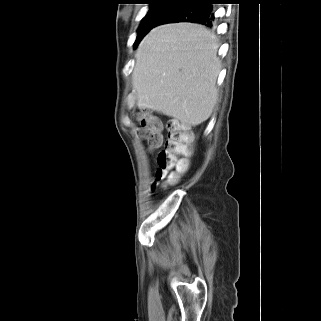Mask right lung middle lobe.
I'll list each match as a JSON object with an SVG mask.
<instances>
[{
  "label": "right lung middle lobe",
  "instance_id": "1",
  "mask_svg": "<svg viewBox=\"0 0 321 321\" xmlns=\"http://www.w3.org/2000/svg\"><path fill=\"white\" fill-rule=\"evenodd\" d=\"M175 2L169 0L154 1L150 3L149 10L142 19L138 29L137 38L134 43L135 47L142 38L153 28L156 27L159 19L175 5Z\"/></svg>",
  "mask_w": 321,
  "mask_h": 321
}]
</instances>
